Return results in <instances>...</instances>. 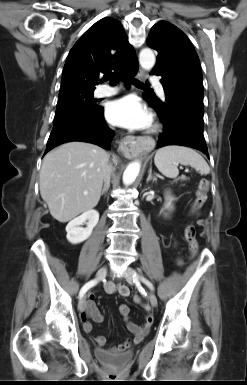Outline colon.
I'll return each instance as SVG.
<instances>
[{"label":"colon","instance_id":"5ec220e1","mask_svg":"<svg viewBox=\"0 0 247 385\" xmlns=\"http://www.w3.org/2000/svg\"><path fill=\"white\" fill-rule=\"evenodd\" d=\"M210 188V183L207 179H202L199 182L196 198L191 208V214L198 213L207 201V194ZM184 239L188 245L190 253L195 255L199 250V244L196 239V229L192 222H187L184 227ZM138 296H135L137 299Z\"/></svg>","mask_w":247,"mask_h":385}]
</instances>
